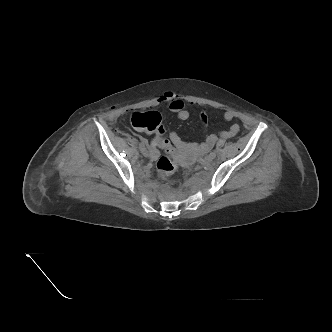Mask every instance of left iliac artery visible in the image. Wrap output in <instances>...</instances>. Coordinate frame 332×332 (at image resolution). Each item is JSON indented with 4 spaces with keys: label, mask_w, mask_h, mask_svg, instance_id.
I'll list each match as a JSON object with an SVG mask.
<instances>
[{
    "label": "left iliac artery",
    "mask_w": 332,
    "mask_h": 332,
    "mask_svg": "<svg viewBox=\"0 0 332 332\" xmlns=\"http://www.w3.org/2000/svg\"><path fill=\"white\" fill-rule=\"evenodd\" d=\"M210 156H212L213 158H215L216 157V152L215 151L211 152Z\"/></svg>",
    "instance_id": "44dca946"
}]
</instances>
